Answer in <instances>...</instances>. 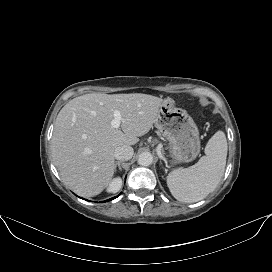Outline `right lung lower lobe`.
<instances>
[{"instance_id": "98d812e1", "label": "right lung lower lobe", "mask_w": 272, "mask_h": 272, "mask_svg": "<svg viewBox=\"0 0 272 272\" xmlns=\"http://www.w3.org/2000/svg\"><path fill=\"white\" fill-rule=\"evenodd\" d=\"M117 197V196H116ZM116 197H113V198H111V199H109V200H113V199H115Z\"/></svg>"}]
</instances>
